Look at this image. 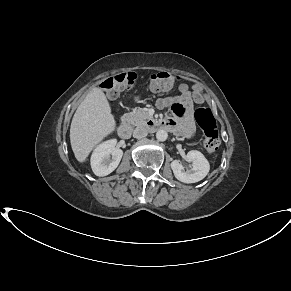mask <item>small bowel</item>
Returning <instances> with one entry per match:
<instances>
[{"instance_id":"obj_1","label":"small bowel","mask_w":291,"mask_h":291,"mask_svg":"<svg viewBox=\"0 0 291 291\" xmlns=\"http://www.w3.org/2000/svg\"><path fill=\"white\" fill-rule=\"evenodd\" d=\"M192 104L191 94L187 84L179 86V94L168 96L157 100L159 108H172L177 118H166L164 120L166 128L185 137H192L195 132L194 121L190 114ZM179 109L181 111H179Z\"/></svg>"}]
</instances>
